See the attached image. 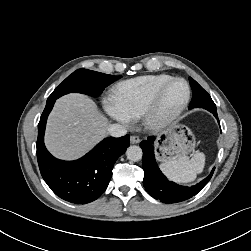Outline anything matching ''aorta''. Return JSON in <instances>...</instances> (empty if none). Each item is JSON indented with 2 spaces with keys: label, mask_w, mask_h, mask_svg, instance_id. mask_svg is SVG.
Returning <instances> with one entry per match:
<instances>
[{
  "label": "aorta",
  "mask_w": 251,
  "mask_h": 251,
  "mask_svg": "<svg viewBox=\"0 0 251 251\" xmlns=\"http://www.w3.org/2000/svg\"><path fill=\"white\" fill-rule=\"evenodd\" d=\"M142 155H143L142 149L136 145L128 147L126 151L127 158L134 162L141 160Z\"/></svg>",
  "instance_id": "1"
}]
</instances>
